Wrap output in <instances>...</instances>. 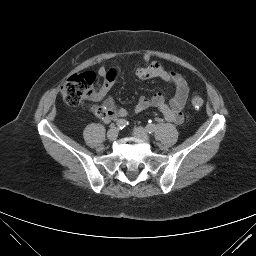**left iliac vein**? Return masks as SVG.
<instances>
[{
	"label": "left iliac vein",
	"instance_id": "4c4485c4",
	"mask_svg": "<svg viewBox=\"0 0 256 256\" xmlns=\"http://www.w3.org/2000/svg\"><path fill=\"white\" fill-rule=\"evenodd\" d=\"M133 134H134V136H135L136 138H138V139H140V140H142V141H144V142H147V143H148L149 140H150V137H149L147 131H146L144 128H142V127H137V128H135V129L133 130Z\"/></svg>",
	"mask_w": 256,
	"mask_h": 256
}]
</instances>
